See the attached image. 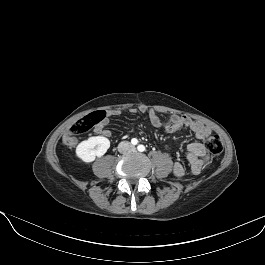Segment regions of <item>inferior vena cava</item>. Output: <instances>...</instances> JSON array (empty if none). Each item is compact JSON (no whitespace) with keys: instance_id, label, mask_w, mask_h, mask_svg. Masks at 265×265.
Returning a JSON list of instances; mask_svg holds the SVG:
<instances>
[{"instance_id":"1","label":"inferior vena cava","mask_w":265,"mask_h":265,"mask_svg":"<svg viewBox=\"0 0 265 265\" xmlns=\"http://www.w3.org/2000/svg\"><path fill=\"white\" fill-rule=\"evenodd\" d=\"M133 150V145L128 141H122L118 145V151L122 154L130 153Z\"/></svg>"}]
</instances>
